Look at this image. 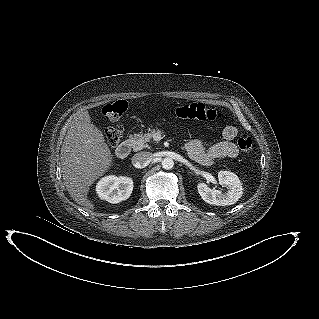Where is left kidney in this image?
Instances as JSON below:
<instances>
[{"instance_id":"obj_1","label":"left kidney","mask_w":319,"mask_h":319,"mask_svg":"<svg viewBox=\"0 0 319 319\" xmlns=\"http://www.w3.org/2000/svg\"><path fill=\"white\" fill-rule=\"evenodd\" d=\"M218 180L226 192L217 189H211L205 183L197 185L198 193L208 204L226 206L235 204L243 194L242 184L239 177L230 171H220Z\"/></svg>"}]
</instances>
